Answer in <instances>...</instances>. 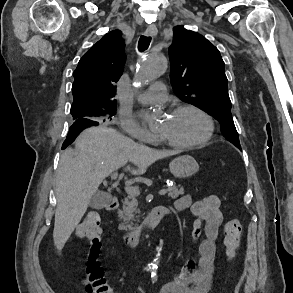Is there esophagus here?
<instances>
[{
    "label": "esophagus",
    "instance_id": "1",
    "mask_svg": "<svg viewBox=\"0 0 293 293\" xmlns=\"http://www.w3.org/2000/svg\"><path fill=\"white\" fill-rule=\"evenodd\" d=\"M157 27L155 25H150L147 27L146 31H145V35L147 36H156L157 35Z\"/></svg>",
    "mask_w": 293,
    "mask_h": 293
}]
</instances>
